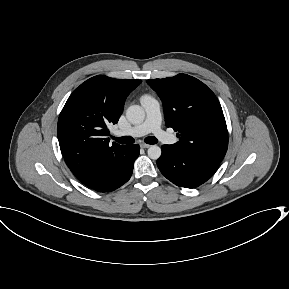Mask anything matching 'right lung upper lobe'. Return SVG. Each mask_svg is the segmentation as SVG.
I'll return each instance as SVG.
<instances>
[{"mask_svg":"<svg viewBox=\"0 0 289 289\" xmlns=\"http://www.w3.org/2000/svg\"><path fill=\"white\" fill-rule=\"evenodd\" d=\"M140 83L97 75L76 88L64 105L57 126L60 149L86 186L102 182L126 148L109 146L107 125L118 122L126 97Z\"/></svg>","mask_w":289,"mask_h":289,"instance_id":"cb5924a9","label":"right lung upper lobe"}]
</instances>
